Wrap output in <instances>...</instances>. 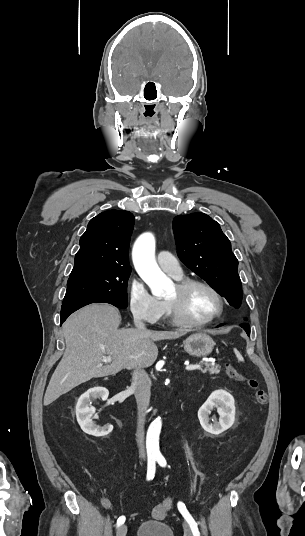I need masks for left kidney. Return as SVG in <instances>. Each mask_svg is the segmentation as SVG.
<instances>
[{
  "label": "left kidney",
  "instance_id": "1",
  "mask_svg": "<svg viewBox=\"0 0 305 536\" xmlns=\"http://www.w3.org/2000/svg\"><path fill=\"white\" fill-rule=\"evenodd\" d=\"M234 402L233 396L229 392H225V390L212 392L207 402L198 410V418L205 432L219 436V434H222V432L229 430L233 426L235 420ZM214 408H216L220 418L218 422L210 424V420H216V418H209V414H211Z\"/></svg>",
  "mask_w": 305,
  "mask_h": 536
}]
</instances>
